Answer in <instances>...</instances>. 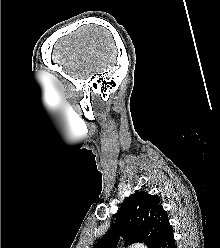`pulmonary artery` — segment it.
<instances>
[{"label": "pulmonary artery", "instance_id": "e3ab8cb5", "mask_svg": "<svg viewBox=\"0 0 220 248\" xmlns=\"http://www.w3.org/2000/svg\"><path fill=\"white\" fill-rule=\"evenodd\" d=\"M131 248H146V247L141 244H135Z\"/></svg>", "mask_w": 220, "mask_h": 248}]
</instances>
